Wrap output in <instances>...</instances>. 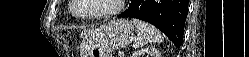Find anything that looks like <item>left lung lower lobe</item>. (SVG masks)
I'll return each instance as SVG.
<instances>
[{"label":"left lung lower lobe","instance_id":"obj_1","mask_svg":"<svg viewBox=\"0 0 249 57\" xmlns=\"http://www.w3.org/2000/svg\"><path fill=\"white\" fill-rule=\"evenodd\" d=\"M188 0H131L118 17H132L153 24L180 46L187 17Z\"/></svg>","mask_w":249,"mask_h":57}]
</instances>
